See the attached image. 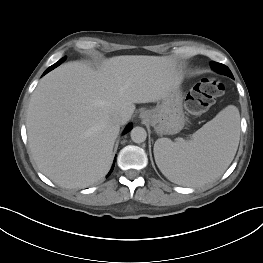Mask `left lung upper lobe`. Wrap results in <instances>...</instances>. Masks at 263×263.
<instances>
[{"instance_id": "1", "label": "left lung upper lobe", "mask_w": 263, "mask_h": 263, "mask_svg": "<svg viewBox=\"0 0 263 263\" xmlns=\"http://www.w3.org/2000/svg\"><path fill=\"white\" fill-rule=\"evenodd\" d=\"M211 67L213 69H215L218 73L224 74V75H227V76L233 78V75L227 66H225L221 63H217V62L212 61Z\"/></svg>"}]
</instances>
